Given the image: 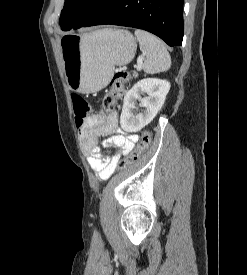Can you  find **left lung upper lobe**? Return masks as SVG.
I'll use <instances>...</instances> for the list:
<instances>
[{
  "label": "left lung upper lobe",
  "instance_id": "5c2ea615",
  "mask_svg": "<svg viewBox=\"0 0 247 275\" xmlns=\"http://www.w3.org/2000/svg\"><path fill=\"white\" fill-rule=\"evenodd\" d=\"M105 0H65L59 19L61 29L68 31L85 24Z\"/></svg>",
  "mask_w": 247,
  "mask_h": 275
}]
</instances>
